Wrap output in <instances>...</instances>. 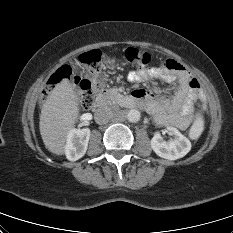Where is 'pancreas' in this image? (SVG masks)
Wrapping results in <instances>:
<instances>
[{"instance_id":"pancreas-1","label":"pancreas","mask_w":233,"mask_h":233,"mask_svg":"<svg viewBox=\"0 0 233 233\" xmlns=\"http://www.w3.org/2000/svg\"><path fill=\"white\" fill-rule=\"evenodd\" d=\"M110 99L113 103H120L122 96L118 93L116 89L109 90Z\"/></svg>"}]
</instances>
